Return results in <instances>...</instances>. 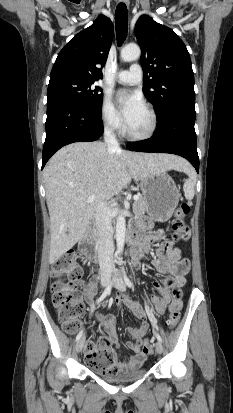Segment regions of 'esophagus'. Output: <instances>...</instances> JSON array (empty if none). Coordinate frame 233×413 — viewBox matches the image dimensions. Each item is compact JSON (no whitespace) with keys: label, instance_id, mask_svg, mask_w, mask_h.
Wrapping results in <instances>:
<instances>
[{"label":"esophagus","instance_id":"esophagus-1","mask_svg":"<svg viewBox=\"0 0 233 413\" xmlns=\"http://www.w3.org/2000/svg\"><path fill=\"white\" fill-rule=\"evenodd\" d=\"M123 3H125L126 4V6H129V0H121Z\"/></svg>","mask_w":233,"mask_h":413}]
</instances>
